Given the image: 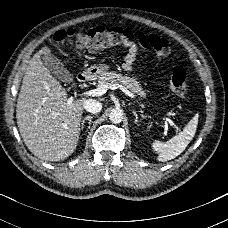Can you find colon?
Here are the masks:
<instances>
[{
    "label": "colon",
    "mask_w": 228,
    "mask_h": 228,
    "mask_svg": "<svg viewBox=\"0 0 228 228\" xmlns=\"http://www.w3.org/2000/svg\"><path fill=\"white\" fill-rule=\"evenodd\" d=\"M132 39L133 33L128 28L107 30L101 26L86 30H61L56 32L52 37L54 43L73 45L79 49L92 51L124 44L130 42ZM149 43L161 58H165L170 54L169 43L162 37L152 35L149 37ZM170 82L172 90L176 95L184 96L186 94V74L183 68L174 67Z\"/></svg>",
    "instance_id": "5ec220e1"
}]
</instances>
